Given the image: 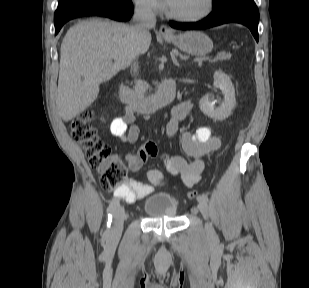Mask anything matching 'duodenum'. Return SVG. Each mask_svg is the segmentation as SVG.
Returning <instances> with one entry per match:
<instances>
[{
  "label": "duodenum",
  "mask_w": 309,
  "mask_h": 288,
  "mask_svg": "<svg viewBox=\"0 0 309 288\" xmlns=\"http://www.w3.org/2000/svg\"><path fill=\"white\" fill-rule=\"evenodd\" d=\"M119 96L122 103L130 110L141 114L151 113L162 109L174 99L175 84L173 81H168L154 95L140 99L129 87L121 83L119 86Z\"/></svg>",
  "instance_id": "1"
}]
</instances>
